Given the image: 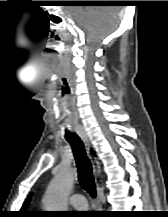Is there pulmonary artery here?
Segmentation results:
<instances>
[{"label":"pulmonary artery","mask_w":168,"mask_h":217,"mask_svg":"<svg viewBox=\"0 0 168 217\" xmlns=\"http://www.w3.org/2000/svg\"><path fill=\"white\" fill-rule=\"evenodd\" d=\"M69 203L75 209H85L87 207V203H86L84 195L79 194V193H75L71 195L69 198Z\"/></svg>","instance_id":"1"}]
</instances>
